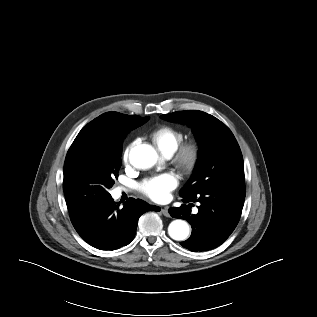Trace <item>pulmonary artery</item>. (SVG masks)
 I'll list each match as a JSON object with an SVG mask.
<instances>
[{
	"label": "pulmonary artery",
	"mask_w": 317,
	"mask_h": 317,
	"mask_svg": "<svg viewBox=\"0 0 317 317\" xmlns=\"http://www.w3.org/2000/svg\"><path fill=\"white\" fill-rule=\"evenodd\" d=\"M122 190H124V189H118V193H121Z\"/></svg>",
	"instance_id": "1"
}]
</instances>
